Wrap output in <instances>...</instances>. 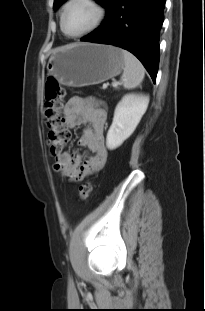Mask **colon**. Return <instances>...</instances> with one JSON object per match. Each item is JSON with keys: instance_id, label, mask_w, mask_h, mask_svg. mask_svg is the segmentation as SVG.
Instances as JSON below:
<instances>
[{"instance_id": "colon-1", "label": "colon", "mask_w": 205, "mask_h": 311, "mask_svg": "<svg viewBox=\"0 0 205 311\" xmlns=\"http://www.w3.org/2000/svg\"><path fill=\"white\" fill-rule=\"evenodd\" d=\"M64 89L55 78L45 83L44 119L48 129V146L54 156L61 154L69 142L70 133L65 129L62 117ZM89 181L83 182L78 191V198L85 200L91 192Z\"/></svg>"}]
</instances>
